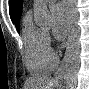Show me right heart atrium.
<instances>
[{
	"label": "right heart atrium",
	"mask_w": 89,
	"mask_h": 89,
	"mask_svg": "<svg viewBox=\"0 0 89 89\" xmlns=\"http://www.w3.org/2000/svg\"><path fill=\"white\" fill-rule=\"evenodd\" d=\"M45 45H46V48L48 49V51L52 52L51 39L47 33H45Z\"/></svg>",
	"instance_id": "right-heart-atrium-1"
}]
</instances>
